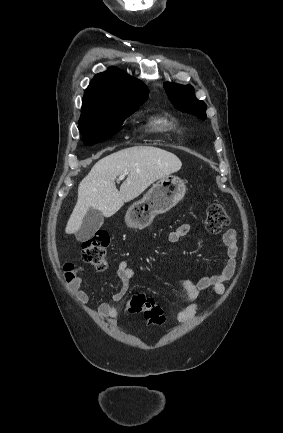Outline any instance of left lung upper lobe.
I'll return each mask as SVG.
<instances>
[{
    "label": "left lung upper lobe",
    "instance_id": "obj_1",
    "mask_svg": "<svg viewBox=\"0 0 283 433\" xmlns=\"http://www.w3.org/2000/svg\"><path fill=\"white\" fill-rule=\"evenodd\" d=\"M164 88L176 108L191 113L200 119H206L207 106L195 97L192 86L165 83Z\"/></svg>",
    "mask_w": 283,
    "mask_h": 433
}]
</instances>
